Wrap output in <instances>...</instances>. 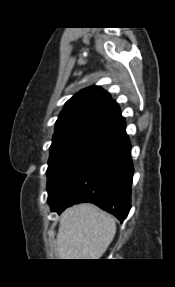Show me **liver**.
I'll use <instances>...</instances> for the list:
<instances>
[{
  "mask_svg": "<svg viewBox=\"0 0 175 287\" xmlns=\"http://www.w3.org/2000/svg\"><path fill=\"white\" fill-rule=\"evenodd\" d=\"M116 233L115 219L92 204L61 214L56 238L58 259H100Z\"/></svg>",
  "mask_w": 175,
  "mask_h": 287,
  "instance_id": "obj_1",
  "label": "liver"
}]
</instances>
